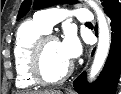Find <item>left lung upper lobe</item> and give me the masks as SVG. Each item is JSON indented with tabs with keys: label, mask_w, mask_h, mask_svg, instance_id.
I'll list each match as a JSON object with an SVG mask.
<instances>
[{
	"label": "left lung upper lobe",
	"mask_w": 121,
	"mask_h": 94,
	"mask_svg": "<svg viewBox=\"0 0 121 94\" xmlns=\"http://www.w3.org/2000/svg\"><path fill=\"white\" fill-rule=\"evenodd\" d=\"M100 1H102L104 11L107 14L114 7L120 6L118 0H100ZM65 3L72 4V3H77V1L76 0H24L19 9L17 19L22 18L30 10L31 6H33L34 9H42L56 4H65Z\"/></svg>",
	"instance_id": "5c2ea615"
}]
</instances>
